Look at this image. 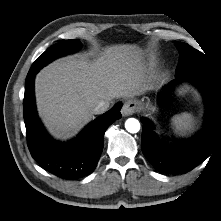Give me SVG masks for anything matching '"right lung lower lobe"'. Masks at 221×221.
Segmentation results:
<instances>
[{
    "mask_svg": "<svg viewBox=\"0 0 221 221\" xmlns=\"http://www.w3.org/2000/svg\"><path fill=\"white\" fill-rule=\"evenodd\" d=\"M25 81L24 121L27 143L32 157L48 172L63 178L77 179L91 174L100 158L105 130L121 118V103L90 123L78 137L68 143L54 141L41 124L34 99V78Z\"/></svg>",
    "mask_w": 221,
    "mask_h": 221,
    "instance_id": "98d812e1",
    "label": "right lung lower lobe"
}]
</instances>
